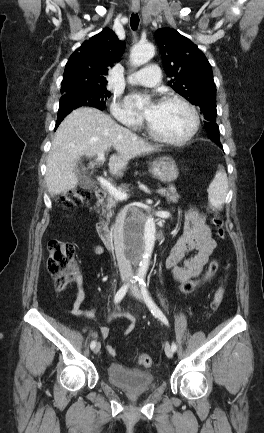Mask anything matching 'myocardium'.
<instances>
[{"mask_svg":"<svg viewBox=\"0 0 264 433\" xmlns=\"http://www.w3.org/2000/svg\"><path fill=\"white\" fill-rule=\"evenodd\" d=\"M160 103H178V104L184 106L186 109H188V111L191 113V116H192L191 128L184 136H182L180 138H169V137H166V136H163V135H160L159 133H157L151 127L149 122H147V125H146L147 133L153 139H155L161 143L174 145V146H181V145L186 144L188 141H190L196 135V133L199 129V126H200V116H199L197 109L188 100H186L180 96H176V95L166 96V97L161 99Z\"/></svg>","mask_w":264,"mask_h":433,"instance_id":"1","label":"myocardium"}]
</instances>
